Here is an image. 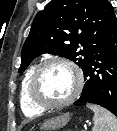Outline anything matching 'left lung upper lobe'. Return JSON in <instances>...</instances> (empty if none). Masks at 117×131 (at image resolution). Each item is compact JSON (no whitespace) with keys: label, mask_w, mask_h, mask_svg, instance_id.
Returning <instances> with one entry per match:
<instances>
[{"label":"left lung upper lobe","mask_w":117,"mask_h":131,"mask_svg":"<svg viewBox=\"0 0 117 131\" xmlns=\"http://www.w3.org/2000/svg\"><path fill=\"white\" fill-rule=\"evenodd\" d=\"M112 11L107 0H51L33 20L19 73L44 53L65 57L84 71L103 42Z\"/></svg>","instance_id":"1"}]
</instances>
